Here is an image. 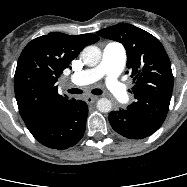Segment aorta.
I'll list each match as a JSON object with an SVG mask.
<instances>
[{"label":"aorta","instance_id":"aorta-1","mask_svg":"<svg viewBox=\"0 0 187 187\" xmlns=\"http://www.w3.org/2000/svg\"><path fill=\"white\" fill-rule=\"evenodd\" d=\"M81 56L86 65L96 66L101 60L102 53L98 47L89 45L83 49ZM97 109L103 113L110 112L112 103L107 98H101L97 101Z\"/></svg>","mask_w":187,"mask_h":187}]
</instances>
